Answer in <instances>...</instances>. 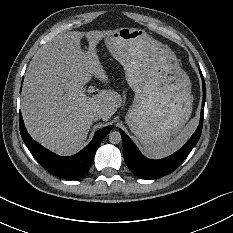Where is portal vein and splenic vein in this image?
Returning <instances> with one entry per match:
<instances>
[{
    "instance_id": "obj_1",
    "label": "portal vein and splenic vein",
    "mask_w": 233,
    "mask_h": 233,
    "mask_svg": "<svg viewBox=\"0 0 233 233\" xmlns=\"http://www.w3.org/2000/svg\"><path fill=\"white\" fill-rule=\"evenodd\" d=\"M87 94H92L94 92V89H92V87H89L87 90H86Z\"/></svg>"
}]
</instances>
